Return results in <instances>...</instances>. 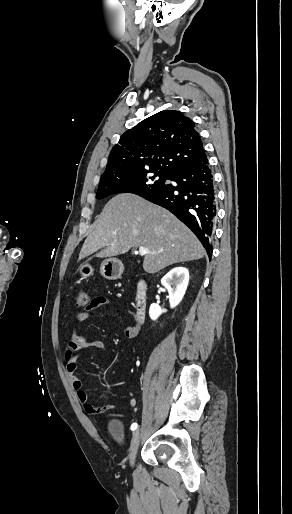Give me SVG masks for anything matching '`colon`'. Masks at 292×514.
Wrapping results in <instances>:
<instances>
[{
    "label": "colon",
    "instance_id": "1",
    "mask_svg": "<svg viewBox=\"0 0 292 514\" xmlns=\"http://www.w3.org/2000/svg\"><path fill=\"white\" fill-rule=\"evenodd\" d=\"M75 307L77 310H88L90 308L89 296L85 290H81L77 293Z\"/></svg>",
    "mask_w": 292,
    "mask_h": 514
}]
</instances>
